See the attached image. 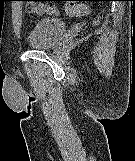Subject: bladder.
Instances as JSON below:
<instances>
[{"mask_svg": "<svg viewBox=\"0 0 135 161\" xmlns=\"http://www.w3.org/2000/svg\"><path fill=\"white\" fill-rule=\"evenodd\" d=\"M66 32V26L60 18H40L31 26L26 41L35 49L51 48L57 44Z\"/></svg>", "mask_w": 135, "mask_h": 161, "instance_id": "obj_1", "label": "bladder"}]
</instances>
